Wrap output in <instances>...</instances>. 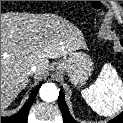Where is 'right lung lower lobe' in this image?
I'll use <instances>...</instances> for the list:
<instances>
[{"mask_svg": "<svg viewBox=\"0 0 123 123\" xmlns=\"http://www.w3.org/2000/svg\"><path fill=\"white\" fill-rule=\"evenodd\" d=\"M41 84L38 85L31 93L29 99L27 100V102L24 104V106L22 107V109L10 116V117H1V123H27V117H28V112L29 109L36 97V94L40 88Z\"/></svg>", "mask_w": 123, "mask_h": 123, "instance_id": "obj_1", "label": "right lung lower lobe"}]
</instances>
